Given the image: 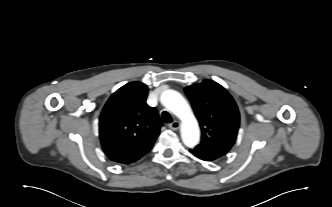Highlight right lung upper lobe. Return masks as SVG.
Segmentation results:
<instances>
[{
  "label": "right lung upper lobe",
  "mask_w": 332,
  "mask_h": 207,
  "mask_svg": "<svg viewBox=\"0 0 332 207\" xmlns=\"http://www.w3.org/2000/svg\"><path fill=\"white\" fill-rule=\"evenodd\" d=\"M148 87L131 82L111 95L99 118V134L105 154L114 162L130 164L148 153L162 122L146 103Z\"/></svg>",
  "instance_id": "right-lung-upper-lobe-1"
}]
</instances>
